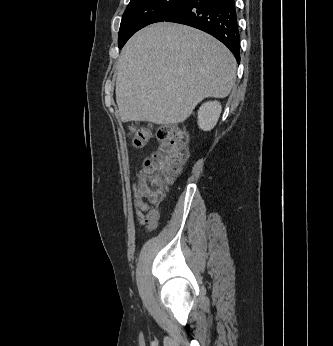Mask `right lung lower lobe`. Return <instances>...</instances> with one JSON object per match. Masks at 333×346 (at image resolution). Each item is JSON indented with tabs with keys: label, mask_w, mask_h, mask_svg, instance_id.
Listing matches in <instances>:
<instances>
[{
	"label": "right lung lower lobe",
	"mask_w": 333,
	"mask_h": 346,
	"mask_svg": "<svg viewBox=\"0 0 333 346\" xmlns=\"http://www.w3.org/2000/svg\"><path fill=\"white\" fill-rule=\"evenodd\" d=\"M164 21L188 25L214 36L240 61L235 0H184Z\"/></svg>",
	"instance_id": "obj_1"
}]
</instances>
